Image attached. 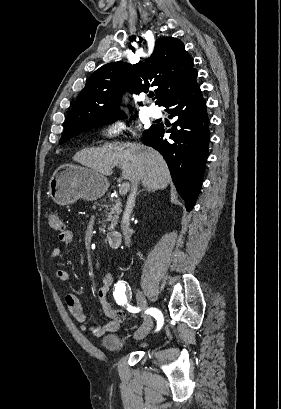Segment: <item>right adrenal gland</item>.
Listing matches in <instances>:
<instances>
[{"label":"right adrenal gland","mask_w":281,"mask_h":409,"mask_svg":"<svg viewBox=\"0 0 281 409\" xmlns=\"http://www.w3.org/2000/svg\"><path fill=\"white\" fill-rule=\"evenodd\" d=\"M142 190H147V192H155V190H157V188H142ZM142 190H139L138 194H140V192H142Z\"/></svg>","instance_id":"1"}]
</instances>
